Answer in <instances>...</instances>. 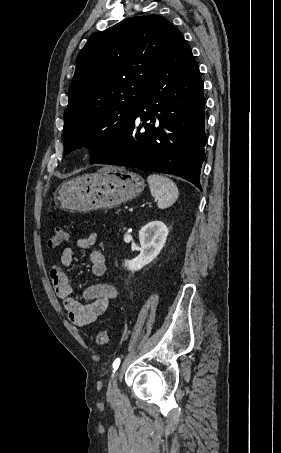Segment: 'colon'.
I'll use <instances>...</instances> for the list:
<instances>
[{
	"instance_id": "obj_1",
	"label": "colon",
	"mask_w": 281,
	"mask_h": 453,
	"mask_svg": "<svg viewBox=\"0 0 281 453\" xmlns=\"http://www.w3.org/2000/svg\"><path fill=\"white\" fill-rule=\"evenodd\" d=\"M64 230L60 227H56L52 230L51 234V248L52 249H59L63 246L64 244ZM111 340V335L109 331H101L95 334L94 336V342L95 345L98 347H104L109 344Z\"/></svg>"
}]
</instances>
